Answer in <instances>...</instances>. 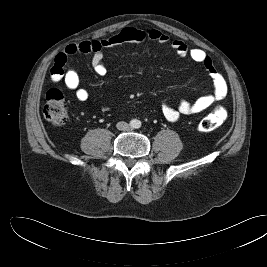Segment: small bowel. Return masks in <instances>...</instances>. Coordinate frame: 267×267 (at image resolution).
<instances>
[{"label":"small bowel","instance_id":"c3829d8e","mask_svg":"<svg viewBox=\"0 0 267 267\" xmlns=\"http://www.w3.org/2000/svg\"><path fill=\"white\" fill-rule=\"evenodd\" d=\"M152 40L161 44L170 43L172 49L180 57H188L197 63H201L208 70L212 79L213 91L203 95L194 101L179 99L176 105L164 104L162 112L171 123H176L182 115H195L208 109L214 102L222 100L227 95V83L224 77L215 69L210 56L200 48L189 47L183 41L170 37L153 28H123L117 33L98 40L83 41L67 46L56 58L51 68L50 75L53 82H63L64 85L75 91V97L81 102H86L89 94L86 89L80 87V77L71 67L66 68L69 59L77 54H91L92 67L98 76L107 73L103 61L104 50L124 42H141Z\"/></svg>","mask_w":267,"mask_h":267}]
</instances>
